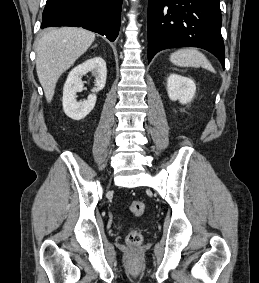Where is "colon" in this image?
<instances>
[{
  "instance_id": "1",
  "label": "colon",
  "mask_w": 259,
  "mask_h": 283,
  "mask_svg": "<svg viewBox=\"0 0 259 283\" xmlns=\"http://www.w3.org/2000/svg\"><path fill=\"white\" fill-rule=\"evenodd\" d=\"M130 211L135 216H141L145 211V204L142 201H133L130 204ZM142 240V234L137 230L129 231L126 236V242L130 246H139Z\"/></svg>"
}]
</instances>
